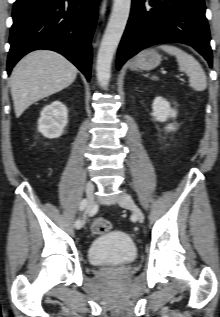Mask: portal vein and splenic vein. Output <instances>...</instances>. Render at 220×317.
<instances>
[{"label":"portal vein and splenic vein","mask_w":220,"mask_h":317,"mask_svg":"<svg viewBox=\"0 0 220 317\" xmlns=\"http://www.w3.org/2000/svg\"><path fill=\"white\" fill-rule=\"evenodd\" d=\"M163 73L165 74L166 72L165 71H163ZM180 76H182L181 74L180 75H178V77H180Z\"/></svg>","instance_id":"18ae733b"}]
</instances>
